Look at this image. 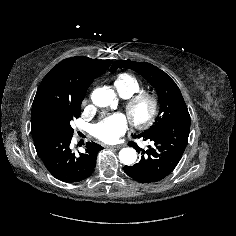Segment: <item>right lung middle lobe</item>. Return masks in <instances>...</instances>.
I'll return each instance as SVG.
<instances>
[{
	"label": "right lung middle lobe",
	"mask_w": 236,
	"mask_h": 236,
	"mask_svg": "<svg viewBox=\"0 0 236 236\" xmlns=\"http://www.w3.org/2000/svg\"><path fill=\"white\" fill-rule=\"evenodd\" d=\"M81 103L77 105L56 104L44 109L35 123V130L72 137L74 129L71 122L80 116Z\"/></svg>",
	"instance_id": "dd1d6c3e"
}]
</instances>
